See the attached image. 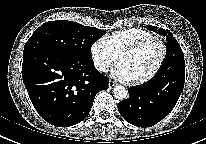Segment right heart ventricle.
<instances>
[{"label":"right heart ventricle","instance_id":"right-heart-ventricle-1","mask_svg":"<svg viewBox=\"0 0 206 144\" xmlns=\"http://www.w3.org/2000/svg\"><path fill=\"white\" fill-rule=\"evenodd\" d=\"M152 36L153 34L147 30L129 27L116 30L105 39L112 51L118 56L125 47Z\"/></svg>","mask_w":206,"mask_h":144}]
</instances>
